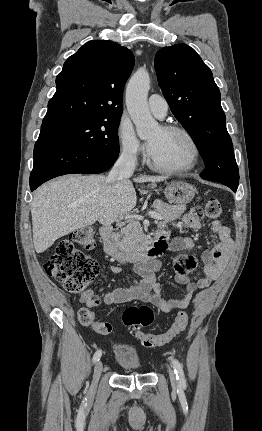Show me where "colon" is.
I'll use <instances>...</instances> for the list:
<instances>
[{"mask_svg": "<svg viewBox=\"0 0 262 431\" xmlns=\"http://www.w3.org/2000/svg\"><path fill=\"white\" fill-rule=\"evenodd\" d=\"M205 216L210 220H217L222 213V206L218 199H209L204 207ZM95 230L85 227L76 230L62 240L56 251L44 262L47 275L60 282L68 292H80L86 289L97 277L98 263L87 257L75 247V244L90 249L95 246ZM154 314L146 305L127 308L122 315L124 325L135 332L144 347L151 348L163 345L185 330L188 324V314L180 311L171 328L163 334H148L140 331V326H147L153 322ZM79 321L82 326L97 329L101 334H109L112 326L109 323L95 319L91 312L81 310Z\"/></svg>", "mask_w": 262, "mask_h": 431, "instance_id": "colon-1", "label": "colon"}]
</instances>
